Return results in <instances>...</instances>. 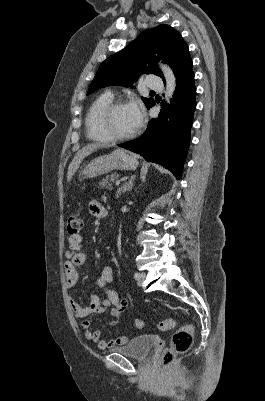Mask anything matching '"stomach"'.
<instances>
[{
    "instance_id": "0dacf381",
    "label": "stomach",
    "mask_w": 265,
    "mask_h": 401,
    "mask_svg": "<svg viewBox=\"0 0 265 401\" xmlns=\"http://www.w3.org/2000/svg\"><path fill=\"white\" fill-rule=\"evenodd\" d=\"M139 162L136 154L127 152L123 148H115L110 154H102V156H96L90 162L85 164L82 174L84 178H94L99 174H105L110 170H135Z\"/></svg>"
}]
</instances>
